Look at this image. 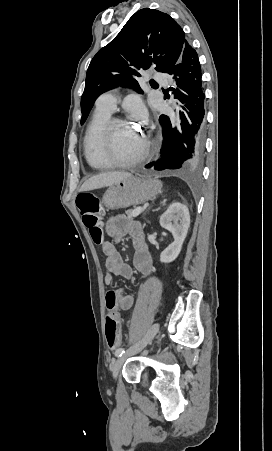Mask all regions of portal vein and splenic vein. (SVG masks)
I'll return each instance as SVG.
<instances>
[{
    "instance_id": "18ae733b",
    "label": "portal vein and splenic vein",
    "mask_w": 272,
    "mask_h": 451,
    "mask_svg": "<svg viewBox=\"0 0 272 451\" xmlns=\"http://www.w3.org/2000/svg\"><path fill=\"white\" fill-rule=\"evenodd\" d=\"M143 212V208H136L133 212V216H138V214H141Z\"/></svg>"
}]
</instances>
